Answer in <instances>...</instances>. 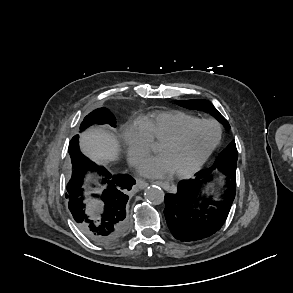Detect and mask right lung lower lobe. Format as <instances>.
<instances>
[{
	"mask_svg": "<svg viewBox=\"0 0 293 293\" xmlns=\"http://www.w3.org/2000/svg\"><path fill=\"white\" fill-rule=\"evenodd\" d=\"M72 174L67 184L66 198L69 210L79 229L92 241L101 244L118 242L128 229L126 218L127 190L135 183L128 174L111 175L105 169L97 167L79 150V135H75L68 148ZM98 170L104 176L106 188L100 196V202L87 205L84 202L83 177L87 171Z\"/></svg>",
	"mask_w": 293,
	"mask_h": 293,
	"instance_id": "right-lung-lower-lobe-1",
	"label": "right lung lower lobe"
}]
</instances>
